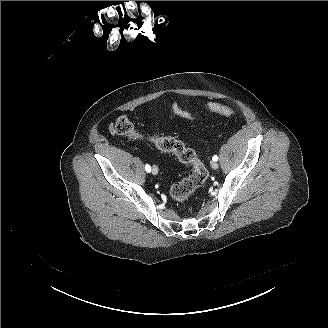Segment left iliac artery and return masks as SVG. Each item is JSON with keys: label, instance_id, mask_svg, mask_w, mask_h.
I'll return each mask as SVG.
<instances>
[{"label": "left iliac artery", "instance_id": "44dca946", "mask_svg": "<svg viewBox=\"0 0 328 328\" xmlns=\"http://www.w3.org/2000/svg\"><path fill=\"white\" fill-rule=\"evenodd\" d=\"M212 160L218 161V156L214 155L213 158H212Z\"/></svg>", "mask_w": 328, "mask_h": 328}]
</instances>
